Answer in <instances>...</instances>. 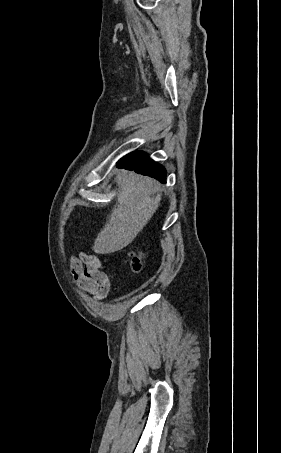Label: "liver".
I'll list each match as a JSON object with an SVG mask.
<instances>
[{
    "mask_svg": "<svg viewBox=\"0 0 281 453\" xmlns=\"http://www.w3.org/2000/svg\"><path fill=\"white\" fill-rule=\"evenodd\" d=\"M116 182L121 184L116 204L92 247L98 255L115 253L127 247L160 206L162 190L155 194L159 186L154 178L140 176L133 170H119Z\"/></svg>",
    "mask_w": 281,
    "mask_h": 453,
    "instance_id": "obj_1",
    "label": "liver"
}]
</instances>
